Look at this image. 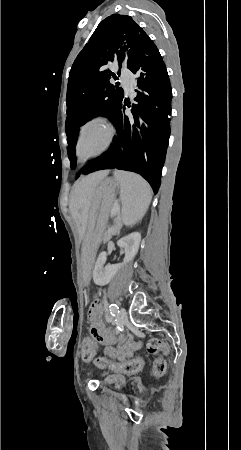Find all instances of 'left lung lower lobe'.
<instances>
[{
  "mask_svg": "<svg viewBox=\"0 0 241 450\" xmlns=\"http://www.w3.org/2000/svg\"><path fill=\"white\" fill-rule=\"evenodd\" d=\"M129 69L137 75V87L142 90H136L134 100L138 104L132 109L134 118L124 114L122 102L112 119L116 135L111 147L85 165L81 173L114 168L132 171L144 177L157 193L170 136L172 89L155 45Z\"/></svg>",
  "mask_w": 241,
  "mask_h": 450,
  "instance_id": "left-lung-lower-lobe-1",
  "label": "left lung lower lobe"
}]
</instances>
